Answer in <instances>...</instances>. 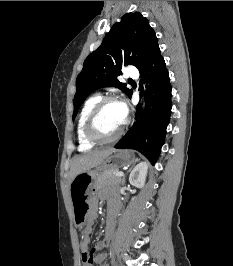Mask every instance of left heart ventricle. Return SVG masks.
<instances>
[{
    "instance_id": "left-heart-ventricle-1",
    "label": "left heart ventricle",
    "mask_w": 233,
    "mask_h": 266,
    "mask_svg": "<svg viewBox=\"0 0 233 266\" xmlns=\"http://www.w3.org/2000/svg\"><path fill=\"white\" fill-rule=\"evenodd\" d=\"M119 103H107L100 111L96 121V131L103 137L115 134L123 124Z\"/></svg>"
}]
</instances>
